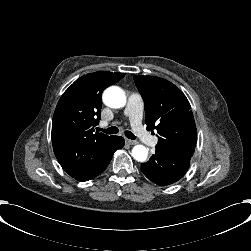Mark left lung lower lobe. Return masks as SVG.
<instances>
[{
    "mask_svg": "<svg viewBox=\"0 0 251 251\" xmlns=\"http://www.w3.org/2000/svg\"><path fill=\"white\" fill-rule=\"evenodd\" d=\"M190 159L156 150L148 162L141 164V171L159 186L170 185L185 175L190 166Z\"/></svg>",
    "mask_w": 251,
    "mask_h": 251,
    "instance_id": "1",
    "label": "left lung lower lobe"
}]
</instances>
